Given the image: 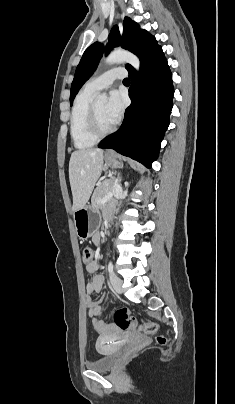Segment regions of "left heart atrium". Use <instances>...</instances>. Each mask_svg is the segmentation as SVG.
Returning a JSON list of instances; mask_svg holds the SVG:
<instances>
[{"mask_svg":"<svg viewBox=\"0 0 235 404\" xmlns=\"http://www.w3.org/2000/svg\"><path fill=\"white\" fill-rule=\"evenodd\" d=\"M125 108V99L119 91H112L105 104V115L108 120L115 124L121 117Z\"/></svg>","mask_w":235,"mask_h":404,"instance_id":"left-heart-atrium-1","label":"left heart atrium"}]
</instances>
